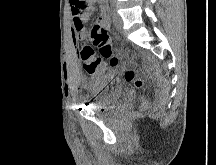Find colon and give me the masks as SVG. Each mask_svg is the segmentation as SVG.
Masks as SVG:
<instances>
[{
    "label": "colon",
    "instance_id": "1",
    "mask_svg": "<svg viewBox=\"0 0 216 165\" xmlns=\"http://www.w3.org/2000/svg\"><path fill=\"white\" fill-rule=\"evenodd\" d=\"M72 7L75 5H86V0H70ZM90 41L93 46L97 47L102 58L96 57L93 47L89 44H83L80 48V58L84 62L85 69L89 72L100 73L106 67H118L119 59L113 55L112 46L108 31L104 26L96 23L90 32ZM108 60V62L104 61ZM124 78L127 82L132 83L137 89L144 88V80L140 78L133 69H122Z\"/></svg>",
    "mask_w": 216,
    "mask_h": 165
}]
</instances>
